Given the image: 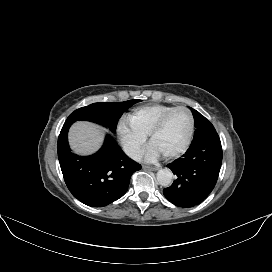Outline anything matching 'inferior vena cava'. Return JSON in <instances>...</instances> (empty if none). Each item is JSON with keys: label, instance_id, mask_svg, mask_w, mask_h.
Returning a JSON list of instances; mask_svg holds the SVG:
<instances>
[{"label": "inferior vena cava", "instance_id": "602c4592", "mask_svg": "<svg viewBox=\"0 0 272 272\" xmlns=\"http://www.w3.org/2000/svg\"><path fill=\"white\" fill-rule=\"evenodd\" d=\"M124 153L134 160H139L142 157V151L135 145L124 144L123 146Z\"/></svg>", "mask_w": 272, "mask_h": 272}]
</instances>
